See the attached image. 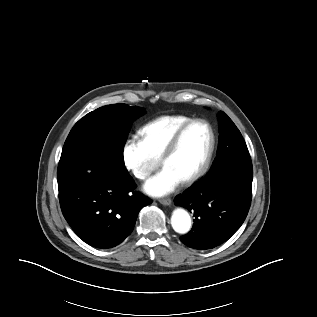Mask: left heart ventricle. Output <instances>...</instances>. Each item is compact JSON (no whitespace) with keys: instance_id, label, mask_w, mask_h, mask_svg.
<instances>
[{"instance_id":"obj_1","label":"left heart ventricle","mask_w":317,"mask_h":317,"mask_svg":"<svg viewBox=\"0 0 317 317\" xmlns=\"http://www.w3.org/2000/svg\"><path fill=\"white\" fill-rule=\"evenodd\" d=\"M210 136L203 124L193 125L183 136L175 154L165 167L170 168L181 181L191 176L200 166L209 146Z\"/></svg>"}]
</instances>
